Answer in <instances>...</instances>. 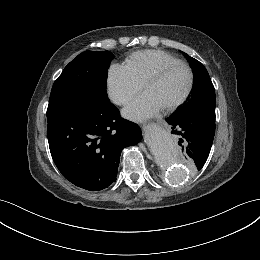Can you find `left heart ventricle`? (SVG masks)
I'll use <instances>...</instances> for the list:
<instances>
[{
	"label": "left heart ventricle",
	"instance_id": "obj_1",
	"mask_svg": "<svg viewBox=\"0 0 260 260\" xmlns=\"http://www.w3.org/2000/svg\"><path fill=\"white\" fill-rule=\"evenodd\" d=\"M188 81L187 71L184 68H177L160 81L149 85L145 92L149 93L164 108L183 95Z\"/></svg>",
	"mask_w": 260,
	"mask_h": 260
}]
</instances>
